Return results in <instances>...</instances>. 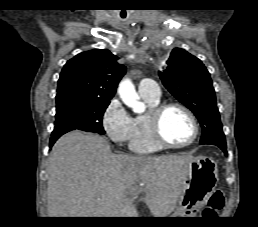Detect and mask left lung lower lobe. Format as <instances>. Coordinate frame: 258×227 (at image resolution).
Segmentation results:
<instances>
[{
	"label": "left lung lower lobe",
	"mask_w": 258,
	"mask_h": 227,
	"mask_svg": "<svg viewBox=\"0 0 258 227\" xmlns=\"http://www.w3.org/2000/svg\"><path fill=\"white\" fill-rule=\"evenodd\" d=\"M216 146L221 148L223 150L224 154L227 155L226 144H218Z\"/></svg>",
	"instance_id": "0a47b994"
}]
</instances>
